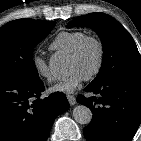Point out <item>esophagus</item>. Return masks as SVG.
Instances as JSON below:
<instances>
[{"label":"esophagus","instance_id":"obj_1","mask_svg":"<svg viewBox=\"0 0 141 141\" xmlns=\"http://www.w3.org/2000/svg\"><path fill=\"white\" fill-rule=\"evenodd\" d=\"M67 99L70 105H74L76 103V98L73 95H67Z\"/></svg>","mask_w":141,"mask_h":141}]
</instances>
